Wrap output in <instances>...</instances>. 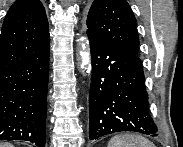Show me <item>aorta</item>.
Wrapping results in <instances>:
<instances>
[{
	"instance_id": "obj_1",
	"label": "aorta",
	"mask_w": 183,
	"mask_h": 147,
	"mask_svg": "<svg viewBox=\"0 0 183 147\" xmlns=\"http://www.w3.org/2000/svg\"><path fill=\"white\" fill-rule=\"evenodd\" d=\"M85 48H86L85 45L82 44V51L80 52V56H81V59H82V61H81V68L84 69L87 65H89L87 70H86V72L90 73V71H91V67H90V54H89V52L85 51Z\"/></svg>"
}]
</instances>
